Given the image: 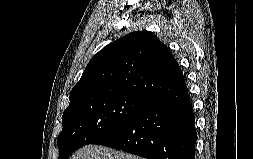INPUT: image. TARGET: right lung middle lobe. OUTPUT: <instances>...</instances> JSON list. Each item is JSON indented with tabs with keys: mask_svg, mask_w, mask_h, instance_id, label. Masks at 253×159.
<instances>
[{
	"mask_svg": "<svg viewBox=\"0 0 253 159\" xmlns=\"http://www.w3.org/2000/svg\"><path fill=\"white\" fill-rule=\"evenodd\" d=\"M150 103L133 94L90 96L70 102L57 139L59 159H67L75 149L115 130Z\"/></svg>",
	"mask_w": 253,
	"mask_h": 159,
	"instance_id": "obj_1",
	"label": "right lung middle lobe"
}]
</instances>
